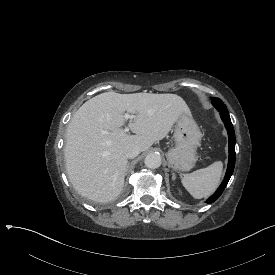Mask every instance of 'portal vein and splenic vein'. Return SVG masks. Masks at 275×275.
Instances as JSON below:
<instances>
[{"mask_svg":"<svg viewBox=\"0 0 275 275\" xmlns=\"http://www.w3.org/2000/svg\"><path fill=\"white\" fill-rule=\"evenodd\" d=\"M132 117L135 118V117H137V115H133ZM125 118L128 119V118H129V115H128V114H125ZM124 132H126V133L129 132V128L126 127V128L124 129ZM103 133L106 134V135L111 134L110 131H103Z\"/></svg>","mask_w":275,"mask_h":275,"instance_id":"18ae733b","label":"portal vein and splenic vein"}]
</instances>
